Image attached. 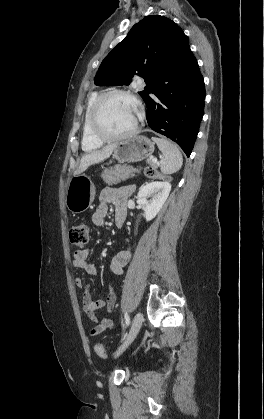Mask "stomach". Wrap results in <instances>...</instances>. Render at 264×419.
I'll list each match as a JSON object with an SVG mask.
<instances>
[{
	"instance_id": "1",
	"label": "stomach",
	"mask_w": 264,
	"mask_h": 419,
	"mask_svg": "<svg viewBox=\"0 0 264 419\" xmlns=\"http://www.w3.org/2000/svg\"><path fill=\"white\" fill-rule=\"evenodd\" d=\"M154 143L145 136H136L130 140L118 142L113 157L119 162H138L150 157L154 152ZM95 197V186L84 174L74 175L67 188L66 206L72 213L87 210Z\"/></svg>"
}]
</instances>
